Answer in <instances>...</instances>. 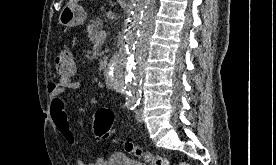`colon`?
Listing matches in <instances>:
<instances>
[{
	"label": "colon",
	"mask_w": 276,
	"mask_h": 165,
	"mask_svg": "<svg viewBox=\"0 0 276 165\" xmlns=\"http://www.w3.org/2000/svg\"><path fill=\"white\" fill-rule=\"evenodd\" d=\"M55 73L59 79H71L76 73V64L70 51L64 50L57 54L55 59ZM114 121V114L108 108H100L96 111L92 120L94 134L101 139H106L111 134V127ZM125 149L128 153L141 158L149 165H169L168 160L159 155L145 152L131 142H125ZM177 165H189L179 163Z\"/></svg>",
	"instance_id": "obj_1"
}]
</instances>
